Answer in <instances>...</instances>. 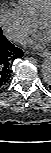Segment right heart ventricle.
I'll return each instance as SVG.
<instances>
[{
  "instance_id": "right-heart-ventricle-1",
  "label": "right heart ventricle",
  "mask_w": 51,
  "mask_h": 153,
  "mask_svg": "<svg viewBox=\"0 0 51 153\" xmlns=\"http://www.w3.org/2000/svg\"><path fill=\"white\" fill-rule=\"evenodd\" d=\"M17 6L28 20L36 23L40 14L51 7V0H17Z\"/></svg>"
}]
</instances>
